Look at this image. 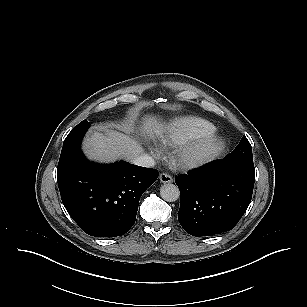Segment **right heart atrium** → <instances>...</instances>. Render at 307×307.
Segmentation results:
<instances>
[{
	"label": "right heart atrium",
	"mask_w": 307,
	"mask_h": 307,
	"mask_svg": "<svg viewBox=\"0 0 307 307\" xmlns=\"http://www.w3.org/2000/svg\"><path fill=\"white\" fill-rule=\"evenodd\" d=\"M157 152H158V151H157L156 149H151V153H152V154H157Z\"/></svg>",
	"instance_id": "1"
}]
</instances>
